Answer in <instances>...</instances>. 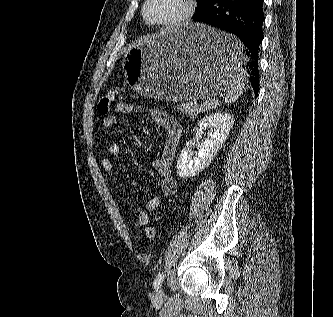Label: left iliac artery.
<instances>
[{
    "mask_svg": "<svg viewBox=\"0 0 333 317\" xmlns=\"http://www.w3.org/2000/svg\"><path fill=\"white\" fill-rule=\"evenodd\" d=\"M163 279H164V273L159 272L154 280V288L158 289L159 287H161Z\"/></svg>",
    "mask_w": 333,
    "mask_h": 317,
    "instance_id": "1",
    "label": "left iliac artery"
}]
</instances>
